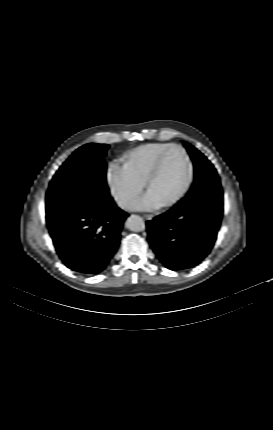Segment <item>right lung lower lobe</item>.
<instances>
[{"label": "right lung lower lobe", "instance_id": "1", "mask_svg": "<svg viewBox=\"0 0 273 430\" xmlns=\"http://www.w3.org/2000/svg\"><path fill=\"white\" fill-rule=\"evenodd\" d=\"M126 212L113 199H89L46 215L49 233L62 262L85 275L106 269L120 243Z\"/></svg>", "mask_w": 273, "mask_h": 430}]
</instances>
